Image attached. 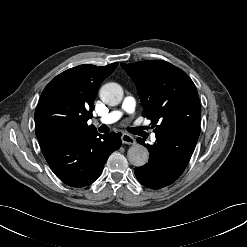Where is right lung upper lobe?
I'll list each match as a JSON object with an SVG mask.
<instances>
[{"mask_svg": "<svg viewBox=\"0 0 247 247\" xmlns=\"http://www.w3.org/2000/svg\"><path fill=\"white\" fill-rule=\"evenodd\" d=\"M117 65H80L62 72L45 87L35 111V133L42 151L60 132H97L87 121L101 82Z\"/></svg>", "mask_w": 247, "mask_h": 247, "instance_id": "1", "label": "right lung upper lobe"}]
</instances>
